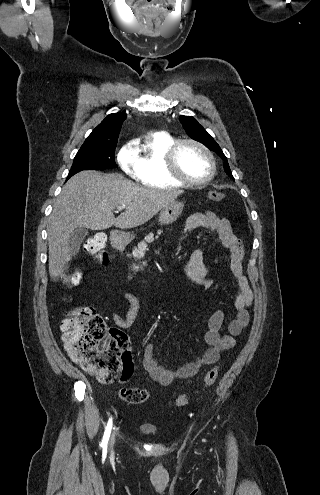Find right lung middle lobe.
Here are the masks:
<instances>
[{
    "label": "right lung middle lobe",
    "instance_id": "dd1d6c3e",
    "mask_svg": "<svg viewBox=\"0 0 320 495\" xmlns=\"http://www.w3.org/2000/svg\"><path fill=\"white\" fill-rule=\"evenodd\" d=\"M116 144L100 146H81L77 152L67 180L83 170H104L116 168L114 154Z\"/></svg>",
    "mask_w": 320,
    "mask_h": 495
}]
</instances>
